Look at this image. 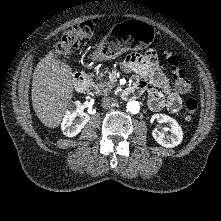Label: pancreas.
Listing matches in <instances>:
<instances>
[{
	"label": "pancreas",
	"instance_id": "1",
	"mask_svg": "<svg viewBox=\"0 0 221 221\" xmlns=\"http://www.w3.org/2000/svg\"><path fill=\"white\" fill-rule=\"evenodd\" d=\"M108 72V70H104L99 77H97L96 79L99 80V82H96L93 84V87L96 91V94H107L109 92L112 91V89L115 87L113 82H109V81H103V77L105 76V74ZM94 75L93 74H89L88 77L92 78Z\"/></svg>",
	"mask_w": 221,
	"mask_h": 221
}]
</instances>
